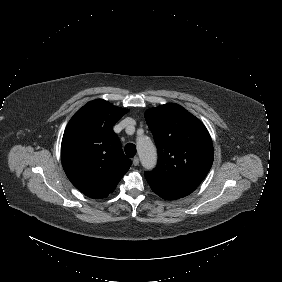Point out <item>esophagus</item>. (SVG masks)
<instances>
[{
  "mask_svg": "<svg viewBox=\"0 0 282 282\" xmlns=\"http://www.w3.org/2000/svg\"><path fill=\"white\" fill-rule=\"evenodd\" d=\"M138 164H139V158H138V156H135L134 159H133V165L137 166Z\"/></svg>",
  "mask_w": 282,
  "mask_h": 282,
  "instance_id": "esophagus-1",
  "label": "esophagus"
}]
</instances>
